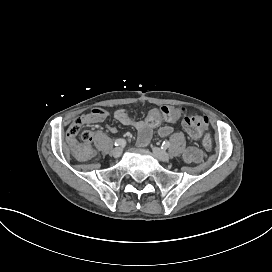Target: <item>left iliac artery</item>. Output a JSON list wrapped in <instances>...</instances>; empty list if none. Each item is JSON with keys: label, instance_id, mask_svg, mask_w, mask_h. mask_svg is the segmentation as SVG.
<instances>
[{"label": "left iliac artery", "instance_id": "left-iliac-artery-1", "mask_svg": "<svg viewBox=\"0 0 272 272\" xmlns=\"http://www.w3.org/2000/svg\"><path fill=\"white\" fill-rule=\"evenodd\" d=\"M169 147H170V142L164 141V142L162 143V148L167 149V148H169Z\"/></svg>", "mask_w": 272, "mask_h": 272}]
</instances>
